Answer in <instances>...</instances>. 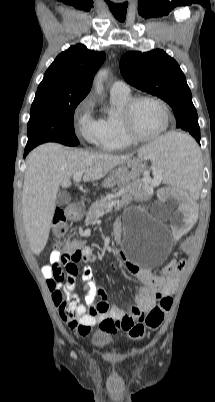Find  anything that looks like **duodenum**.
<instances>
[{
    "label": "duodenum",
    "instance_id": "duodenum-1",
    "mask_svg": "<svg viewBox=\"0 0 215 402\" xmlns=\"http://www.w3.org/2000/svg\"><path fill=\"white\" fill-rule=\"evenodd\" d=\"M83 213L84 206L78 198L74 199V201L67 207V215L71 220L80 219Z\"/></svg>",
    "mask_w": 215,
    "mask_h": 402
}]
</instances>
